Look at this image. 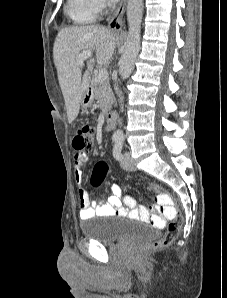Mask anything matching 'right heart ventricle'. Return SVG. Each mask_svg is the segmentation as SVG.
Here are the masks:
<instances>
[{
  "instance_id": "right-heart-ventricle-1",
  "label": "right heart ventricle",
  "mask_w": 227,
  "mask_h": 298,
  "mask_svg": "<svg viewBox=\"0 0 227 298\" xmlns=\"http://www.w3.org/2000/svg\"><path fill=\"white\" fill-rule=\"evenodd\" d=\"M67 14L78 23H89L95 15L84 8L78 0H68L66 5Z\"/></svg>"
}]
</instances>
